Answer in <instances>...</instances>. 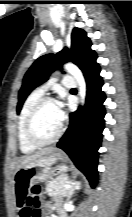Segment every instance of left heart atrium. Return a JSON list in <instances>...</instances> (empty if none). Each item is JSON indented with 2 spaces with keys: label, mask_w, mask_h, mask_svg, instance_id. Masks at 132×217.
<instances>
[{
  "label": "left heart atrium",
  "mask_w": 132,
  "mask_h": 217,
  "mask_svg": "<svg viewBox=\"0 0 132 217\" xmlns=\"http://www.w3.org/2000/svg\"><path fill=\"white\" fill-rule=\"evenodd\" d=\"M55 106H56L58 118L60 119V121H62L65 116L64 111H63V102L60 100L56 102Z\"/></svg>",
  "instance_id": "39dd6f15"
}]
</instances>
